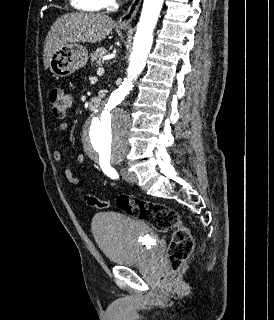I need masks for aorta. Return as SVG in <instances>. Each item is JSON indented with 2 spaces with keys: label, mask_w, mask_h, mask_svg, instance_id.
I'll list each match as a JSON object with an SVG mask.
<instances>
[{
  "label": "aorta",
  "mask_w": 274,
  "mask_h": 320,
  "mask_svg": "<svg viewBox=\"0 0 274 320\" xmlns=\"http://www.w3.org/2000/svg\"><path fill=\"white\" fill-rule=\"evenodd\" d=\"M162 5L163 0H144L126 78L83 130L84 150L93 161H100L102 158L119 161L128 152L130 119L122 105L132 90L135 79L146 65Z\"/></svg>",
  "instance_id": "1"
}]
</instances>
